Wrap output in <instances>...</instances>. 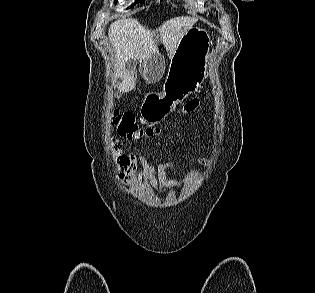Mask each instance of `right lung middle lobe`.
Wrapping results in <instances>:
<instances>
[{
    "mask_svg": "<svg viewBox=\"0 0 315 293\" xmlns=\"http://www.w3.org/2000/svg\"><path fill=\"white\" fill-rule=\"evenodd\" d=\"M144 0H136V3L143 2Z\"/></svg>",
    "mask_w": 315,
    "mask_h": 293,
    "instance_id": "dd1d6c3e",
    "label": "right lung middle lobe"
}]
</instances>
